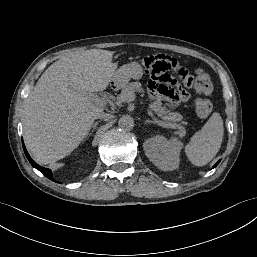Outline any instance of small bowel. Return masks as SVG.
<instances>
[{
	"label": "small bowel",
	"mask_w": 257,
	"mask_h": 257,
	"mask_svg": "<svg viewBox=\"0 0 257 257\" xmlns=\"http://www.w3.org/2000/svg\"><path fill=\"white\" fill-rule=\"evenodd\" d=\"M142 68L151 73L145 82L151 100H162L176 106L190 99L187 91L194 88L193 77L181 60L166 53L149 54Z\"/></svg>",
	"instance_id": "c3829d8e"
}]
</instances>
